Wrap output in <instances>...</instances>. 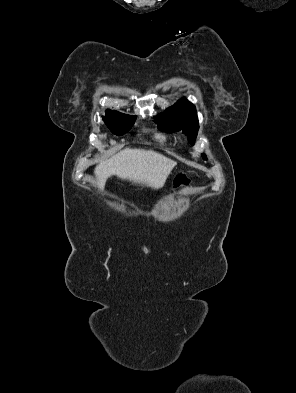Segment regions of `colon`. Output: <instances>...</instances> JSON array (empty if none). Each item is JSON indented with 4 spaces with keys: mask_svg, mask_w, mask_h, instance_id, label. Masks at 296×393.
<instances>
[{
    "mask_svg": "<svg viewBox=\"0 0 296 393\" xmlns=\"http://www.w3.org/2000/svg\"><path fill=\"white\" fill-rule=\"evenodd\" d=\"M189 184H190V179L186 175L180 174L175 178L174 188L181 189L187 187Z\"/></svg>",
    "mask_w": 296,
    "mask_h": 393,
    "instance_id": "obj_1",
    "label": "colon"
}]
</instances>
